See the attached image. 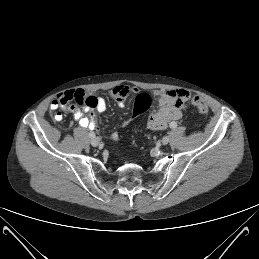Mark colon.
I'll use <instances>...</instances> for the list:
<instances>
[{
	"mask_svg": "<svg viewBox=\"0 0 259 259\" xmlns=\"http://www.w3.org/2000/svg\"><path fill=\"white\" fill-rule=\"evenodd\" d=\"M191 102L201 115H206L208 113V106L202 98L198 96L193 97ZM151 105H152V98L149 95H146V94L138 95L134 103L132 116L129 119L125 120L123 122V125H127L132 121L133 118L147 111L151 107ZM57 119H58V116H57Z\"/></svg>",
	"mask_w": 259,
	"mask_h": 259,
	"instance_id": "1",
	"label": "colon"
}]
</instances>
